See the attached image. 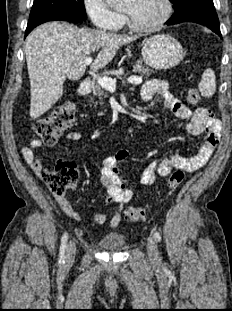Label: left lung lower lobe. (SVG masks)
Wrapping results in <instances>:
<instances>
[{"instance_id":"1","label":"left lung lower lobe","mask_w":232,"mask_h":311,"mask_svg":"<svg viewBox=\"0 0 232 311\" xmlns=\"http://www.w3.org/2000/svg\"><path fill=\"white\" fill-rule=\"evenodd\" d=\"M181 22H194L207 26L222 38L212 0H186L175 9L174 14L165 24L174 25Z\"/></svg>"}]
</instances>
